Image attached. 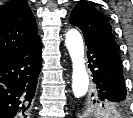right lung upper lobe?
Segmentation results:
<instances>
[{
	"mask_svg": "<svg viewBox=\"0 0 133 118\" xmlns=\"http://www.w3.org/2000/svg\"><path fill=\"white\" fill-rule=\"evenodd\" d=\"M40 41L27 0H11L0 8V60Z\"/></svg>",
	"mask_w": 133,
	"mask_h": 118,
	"instance_id": "obj_1",
	"label": "right lung upper lobe"
}]
</instances>
